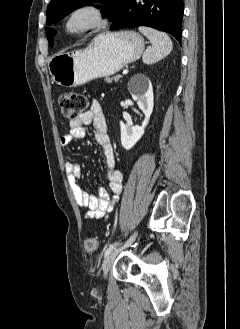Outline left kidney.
Segmentation results:
<instances>
[{
    "label": "left kidney",
    "instance_id": "left-kidney-1",
    "mask_svg": "<svg viewBox=\"0 0 240 329\" xmlns=\"http://www.w3.org/2000/svg\"><path fill=\"white\" fill-rule=\"evenodd\" d=\"M128 89L132 99L137 102L139 108L144 113L145 118L141 126H129L120 121L121 144L126 150L133 148L143 136L154 106L152 83L146 75H134L128 83Z\"/></svg>",
    "mask_w": 240,
    "mask_h": 329
}]
</instances>
